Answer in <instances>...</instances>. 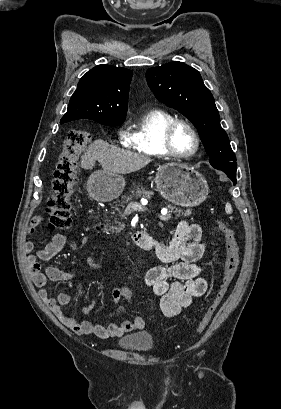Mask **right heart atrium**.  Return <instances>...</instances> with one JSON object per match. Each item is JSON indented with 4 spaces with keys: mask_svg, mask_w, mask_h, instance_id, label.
<instances>
[{
    "mask_svg": "<svg viewBox=\"0 0 281 409\" xmlns=\"http://www.w3.org/2000/svg\"><path fill=\"white\" fill-rule=\"evenodd\" d=\"M118 138L122 143H126L128 141L129 138V134L127 133V131L124 129V127H121L118 129L117 132Z\"/></svg>",
    "mask_w": 281,
    "mask_h": 409,
    "instance_id": "1",
    "label": "right heart atrium"
}]
</instances>
